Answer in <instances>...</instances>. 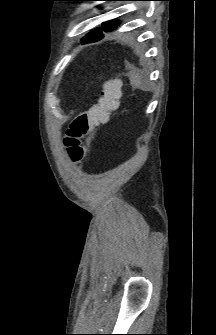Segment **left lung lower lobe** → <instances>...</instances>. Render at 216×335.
Here are the masks:
<instances>
[{"label":"left lung lower lobe","instance_id":"0a47b994","mask_svg":"<svg viewBox=\"0 0 216 335\" xmlns=\"http://www.w3.org/2000/svg\"><path fill=\"white\" fill-rule=\"evenodd\" d=\"M103 36H101V37H98L97 39H95L94 41H84V40H82V43L83 44H85V43H91V42H95V41H98V40H100L101 38H102Z\"/></svg>","mask_w":216,"mask_h":335}]
</instances>
